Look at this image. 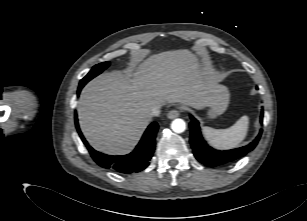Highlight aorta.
Returning <instances> with one entry per match:
<instances>
[{"label": "aorta", "mask_w": 307, "mask_h": 221, "mask_svg": "<svg viewBox=\"0 0 307 221\" xmlns=\"http://www.w3.org/2000/svg\"><path fill=\"white\" fill-rule=\"evenodd\" d=\"M171 129L175 133H182L186 129V123H185V121L183 119H180V118L175 119L171 123Z\"/></svg>", "instance_id": "obj_1"}]
</instances>
